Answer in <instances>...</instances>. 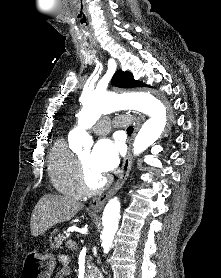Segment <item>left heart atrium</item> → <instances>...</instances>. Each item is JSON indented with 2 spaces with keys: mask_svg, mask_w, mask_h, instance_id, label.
<instances>
[{
  "mask_svg": "<svg viewBox=\"0 0 221 278\" xmlns=\"http://www.w3.org/2000/svg\"><path fill=\"white\" fill-rule=\"evenodd\" d=\"M118 142L105 138L99 140L91 152L92 167L102 175L112 172L119 162Z\"/></svg>",
  "mask_w": 221,
  "mask_h": 278,
  "instance_id": "left-heart-atrium-1",
  "label": "left heart atrium"
}]
</instances>
